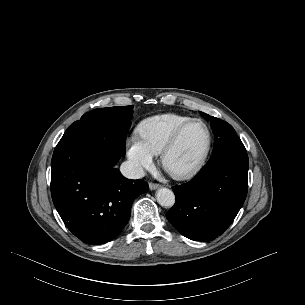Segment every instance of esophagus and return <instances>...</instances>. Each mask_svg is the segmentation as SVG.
<instances>
[{"label": "esophagus", "mask_w": 305, "mask_h": 305, "mask_svg": "<svg viewBox=\"0 0 305 305\" xmlns=\"http://www.w3.org/2000/svg\"><path fill=\"white\" fill-rule=\"evenodd\" d=\"M159 187H161V185L158 184V183H150L149 184L150 190H155V189H158Z\"/></svg>", "instance_id": "1"}]
</instances>
